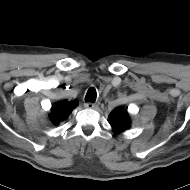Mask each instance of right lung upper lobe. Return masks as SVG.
Wrapping results in <instances>:
<instances>
[{"label": "right lung upper lobe", "mask_w": 190, "mask_h": 190, "mask_svg": "<svg viewBox=\"0 0 190 190\" xmlns=\"http://www.w3.org/2000/svg\"><path fill=\"white\" fill-rule=\"evenodd\" d=\"M77 105V100H62L54 103L51 108V114H49L50 121L54 125H58L61 121H64L69 116V114Z\"/></svg>", "instance_id": "1"}]
</instances>
